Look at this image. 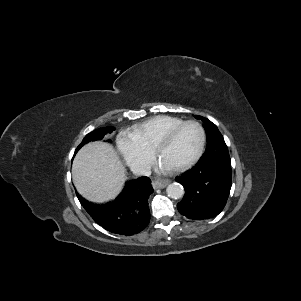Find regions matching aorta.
Returning <instances> with one entry per match:
<instances>
[{"instance_id":"762f6f07","label":"aorta","mask_w":301,"mask_h":301,"mask_svg":"<svg viewBox=\"0 0 301 301\" xmlns=\"http://www.w3.org/2000/svg\"><path fill=\"white\" fill-rule=\"evenodd\" d=\"M166 192L170 198L180 199L184 195V188L179 183H172L168 185Z\"/></svg>"}]
</instances>
